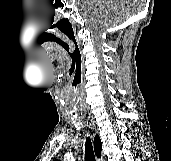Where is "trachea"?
<instances>
[{
	"instance_id": "obj_1",
	"label": "trachea",
	"mask_w": 171,
	"mask_h": 161,
	"mask_svg": "<svg viewBox=\"0 0 171 161\" xmlns=\"http://www.w3.org/2000/svg\"><path fill=\"white\" fill-rule=\"evenodd\" d=\"M85 161H95L92 142L90 137H86L85 142Z\"/></svg>"
}]
</instances>
